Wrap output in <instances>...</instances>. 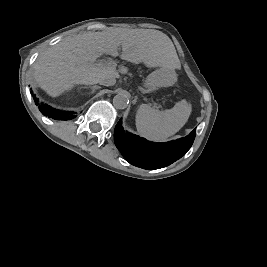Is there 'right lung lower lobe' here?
Listing matches in <instances>:
<instances>
[{"label": "right lung lower lobe", "mask_w": 267, "mask_h": 267, "mask_svg": "<svg viewBox=\"0 0 267 267\" xmlns=\"http://www.w3.org/2000/svg\"><path fill=\"white\" fill-rule=\"evenodd\" d=\"M34 97V96H33ZM37 105H39V109L43 115L48 116L49 118H53L56 120H70L73 119L74 112L69 111H60L48 106L47 104L38 103V99H35Z\"/></svg>", "instance_id": "obj_1"}]
</instances>
